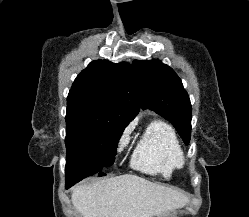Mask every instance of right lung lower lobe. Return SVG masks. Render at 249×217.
<instances>
[{"instance_id": "1", "label": "right lung lower lobe", "mask_w": 249, "mask_h": 217, "mask_svg": "<svg viewBox=\"0 0 249 217\" xmlns=\"http://www.w3.org/2000/svg\"><path fill=\"white\" fill-rule=\"evenodd\" d=\"M93 166L86 160L79 158H69L66 160V188L71 187L75 183L87 177L93 172ZM98 176H104L103 171L97 173Z\"/></svg>"}]
</instances>
